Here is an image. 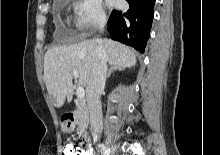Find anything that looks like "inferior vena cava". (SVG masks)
I'll return each mask as SVG.
<instances>
[{
	"label": "inferior vena cava",
	"instance_id": "602c4592",
	"mask_svg": "<svg viewBox=\"0 0 220 155\" xmlns=\"http://www.w3.org/2000/svg\"><path fill=\"white\" fill-rule=\"evenodd\" d=\"M106 21L105 15L99 17L98 27L100 31H103ZM107 61L108 56L106 50L102 45H99L96 49V59L86 88L87 105L90 114V128L94 137L99 136L103 129L100 95L105 87Z\"/></svg>",
	"mask_w": 220,
	"mask_h": 155
}]
</instances>
